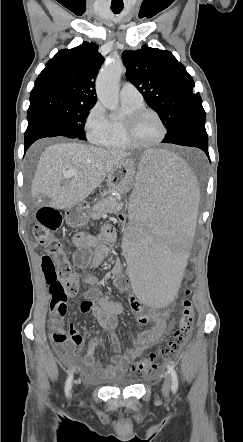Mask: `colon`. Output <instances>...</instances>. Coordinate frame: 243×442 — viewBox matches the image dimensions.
Wrapping results in <instances>:
<instances>
[{
	"mask_svg": "<svg viewBox=\"0 0 243 442\" xmlns=\"http://www.w3.org/2000/svg\"><path fill=\"white\" fill-rule=\"evenodd\" d=\"M37 221L34 236L47 252L42 258V270L52 297L51 306L52 308L67 306L69 298L75 296L81 287L89 283L75 273L60 239L55 234L62 224L60 212L52 207H44L39 210ZM116 221L119 226H122L127 221V214L117 213ZM189 276H192V273H189ZM182 296L184 299L180 303L181 313L173 337L157 352L136 362L132 366L134 373L144 374L154 371L160 359L173 355L181 345L193 324L195 314L190 291H183ZM53 339L63 341L65 336L62 333H55Z\"/></svg>",
	"mask_w": 243,
	"mask_h": 442,
	"instance_id": "1",
	"label": "colon"
}]
</instances>
